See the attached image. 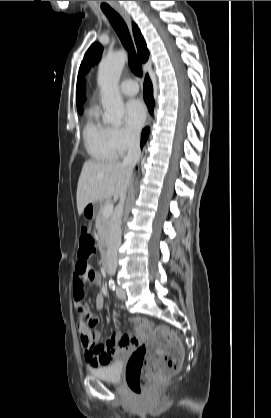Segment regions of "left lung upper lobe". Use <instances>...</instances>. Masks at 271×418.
I'll use <instances>...</instances> for the list:
<instances>
[{
    "instance_id": "obj_1",
    "label": "left lung upper lobe",
    "mask_w": 271,
    "mask_h": 418,
    "mask_svg": "<svg viewBox=\"0 0 271 418\" xmlns=\"http://www.w3.org/2000/svg\"><path fill=\"white\" fill-rule=\"evenodd\" d=\"M103 51L102 46L99 43H94L91 45V47L86 52L84 59L81 63L80 70L82 72H87L89 67L99 60L101 53Z\"/></svg>"
}]
</instances>
